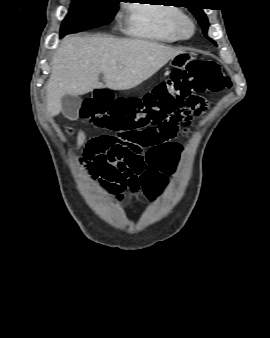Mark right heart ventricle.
Returning a JSON list of instances; mask_svg holds the SVG:
<instances>
[{
	"instance_id": "obj_1",
	"label": "right heart ventricle",
	"mask_w": 270,
	"mask_h": 338,
	"mask_svg": "<svg viewBox=\"0 0 270 338\" xmlns=\"http://www.w3.org/2000/svg\"><path fill=\"white\" fill-rule=\"evenodd\" d=\"M162 4V5H161ZM161 0L149 4L137 3L130 7L129 31L132 35L158 42H174L178 39L173 23L180 10Z\"/></svg>"
}]
</instances>
